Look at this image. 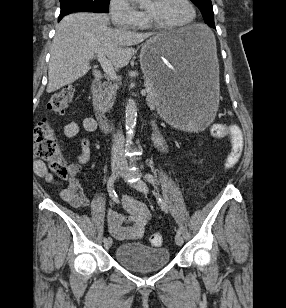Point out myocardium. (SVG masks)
I'll return each instance as SVG.
<instances>
[{"instance_id": "myocardium-1", "label": "myocardium", "mask_w": 286, "mask_h": 308, "mask_svg": "<svg viewBox=\"0 0 286 308\" xmlns=\"http://www.w3.org/2000/svg\"><path fill=\"white\" fill-rule=\"evenodd\" d=\"M185 2L188 4L189 8L192 11V17L188 22H185L182 24H169V23L162 22L158 19H155L154 17L146 13L145 18H146L147 23L156 29H163V30L182 29V28H187V27L192 26L196 22L197 11L191 0H185Z\"/></svg>"}]
</instances>
